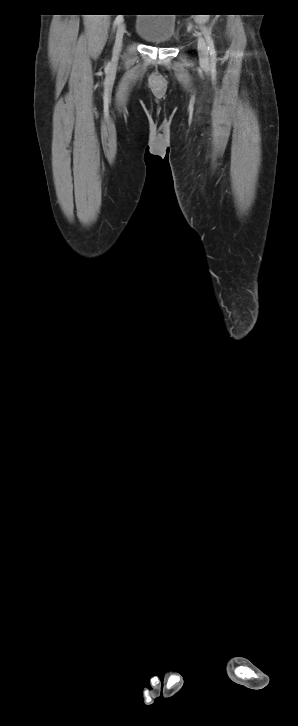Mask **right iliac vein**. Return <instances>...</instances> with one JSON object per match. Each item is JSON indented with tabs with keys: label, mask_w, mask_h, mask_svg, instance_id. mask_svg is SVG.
I'll use <instances>...</instances> for the list:
<instances>
[{
	"label": "right iliac vein",
	"mask_w": 298,
	"mask_h": 726,
	"mask_svg": "<svg viewBox=\"0 0 298 726\" xmlns=\"http://www.w3.org/2000/svg\"><path fill=\"white\" fill-rule=\"evenodd\" d=\"M126 26L124 23H120L117 30H116V36H115V44L113 49V56L114 58H118L121 47H122V41L125 34Z\"/></svg>",
	"instance_id": "right-iliac-vein-1"
}]
</instances>
